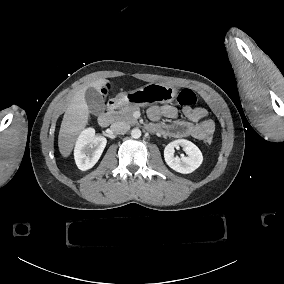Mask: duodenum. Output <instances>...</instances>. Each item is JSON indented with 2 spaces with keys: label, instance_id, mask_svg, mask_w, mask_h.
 <instances>
[{
  "label": "duodenum",
  "instance_id": "obj_1",
  "mask_svg": "<svg viewBox=\"0 0 284 284\" xmlns=\"http://www.w3.org/2000/svg\"><path fill=\"white\" fill-rule=\"evenodd\" d=\"M122 103H124V100L121 98L111 99L109 101V109L106 112H103L98 115L97 123L103 128L108 127L112 119L113 111Z\"/></svg>",
  "mask_w": 284,
  "mask_h": 284
}]
</instances>
